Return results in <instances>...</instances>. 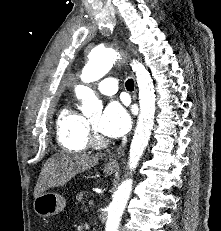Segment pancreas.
Instances as JSON below:
<instances>
[{
	"label": "pancreas",
	"instance_id": "obj_1",
	"mask_svg": "<svg viewBox=\"0 0 221 231\" xmlns=\"http://www.w3.org/2000/svg\"><path fill=\"white\" fill-rule=\"evenodd\" d=\"M87 194H88L87 191H82V192L78 193L77 196H76V200L78 201V203L79 202L84 203V197H86Z\"/></svg>",
	"mask_w": 221,
	"mask_h": 231
}]
</instances>
